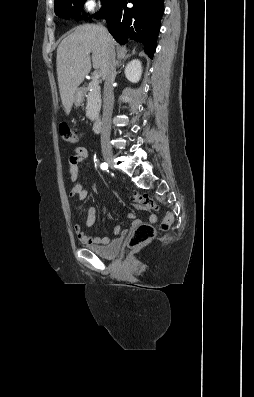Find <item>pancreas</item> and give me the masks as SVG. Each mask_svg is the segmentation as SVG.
<instances>
[{
  "mask_svg": "<svg viewBox=\"0 0 254 397\" xmlns=\"http://www.w3.org/2000/svg\"><path fill=\"white\" fill-rule=\"evenodd\" d=\"M87 90L86 116L93 121L98 117L101 107L100 86L97 81H91L87 86Z\"/></svg>",
  "mask_w": 254,
  "mask_h": 397,
  "instance_id": "obj_1",
  "label": "pancreas"
}]
</instances>
